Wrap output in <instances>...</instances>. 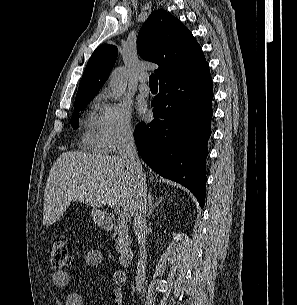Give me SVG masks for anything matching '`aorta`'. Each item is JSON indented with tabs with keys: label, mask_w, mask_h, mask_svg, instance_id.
Listing matches in <instances>:
<instances>
[{
	"label": "aorta",
	"mask_w": 297,
	"mask_h": 305,
	"mask_svg": "<svg viewBox=\"0 0 297 305\" xmlns=\"http://www.w3.org/2000/svg\"><path fill=\"white\" fill-rule=\"evenodd\" d=\"M109 86L115 99L125 91L127 86L126 73L123 67L115 68L109 79Z\"/></svg>",
	"instance_id": "aorta-1"
}]
</instances>
